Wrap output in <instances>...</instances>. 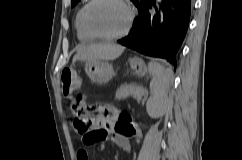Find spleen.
<instances>
[{
  "label": "spleen",
  "mask_w": 242,
  "mask_h": 160,
  "mask_svg": "<svg viewBox=\"0 0 242 160\" xmlns=\"http://www.w3.org/2000/svg\"><path fill=\"white\" fill-rule=\"evenodd\" d=\"M148 71L153 76V79L150 83V88L154 95H164L172 77V70L170 68H165L163 65L157 62L151 61L148 64ZM150 99H153V97Z\"/></svg>",
  "instance_id": "1"
}]
</instances>
